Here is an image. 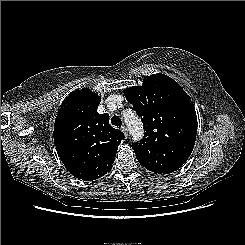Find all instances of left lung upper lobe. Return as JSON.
Here are the masks:
<instances>
[{
  "instance_id": "left-lung-upper-lobe-1",
  "label": "left lung upper lobe",
  "mask_w": 245,
  "mask_h": 245,
  "mask_svg": "<svg viewBox=\"0 0 245 245\" xmlns=\"http://www.w3.org/2000/svg\"><path fill=\"white\" fill-rule=\"evenodd\" d=\"M124 94L144 126L143 139L132 144L139 163L154 173L178 170L190 156L197 133L190 97L164 74L146 76L142 86L129 87Z\"/></svg>"
}]
</instances>
